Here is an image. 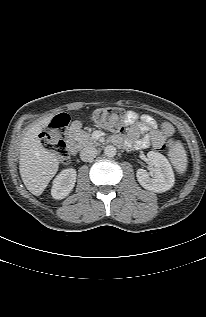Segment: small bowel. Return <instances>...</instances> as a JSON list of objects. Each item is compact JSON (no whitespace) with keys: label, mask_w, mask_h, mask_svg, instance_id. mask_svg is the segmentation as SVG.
<instances>
[{"label":"small bowel","mask_w":206,"mask_h":317,"mask_svg":"<svg viewBox=\"0 0 206 317\" xmlns=\"http://www.w3.org/2000/svg\"><path fill=\"white\" fill-rule=\"evenodd\" d=\"M125 124L128 127L126 142L136 149H145L151 145L160 149L164 140L173 134V127L169 122L158 125L150 115L139 116L133 111L126 113ZM116 139L121 140L122 136H117Z\"/></svg>","instance_id":"c3829d8e"}]
</instances>
